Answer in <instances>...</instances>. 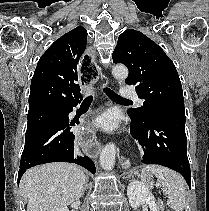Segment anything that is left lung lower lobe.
Masks as SVG:
<instances>
[{
  "label": "left lung lower lobe",
  "mask_w": 209,
  "mask_h": 211,
  "mask_svg": "<svg viewBox=\"0 0 209 211\" xmlns=\"http://www.w3.org/2000/svg\"><path fill=\"white\" fill-rule=\"evenodd\" d=\"M132 136L144 150V164H158L179 172L191 188L190 165L186 153L185 111L162 109L144 119L127 111Z\"/></svg>",
  "instance_id": "obj_1"
}]
</instances>
